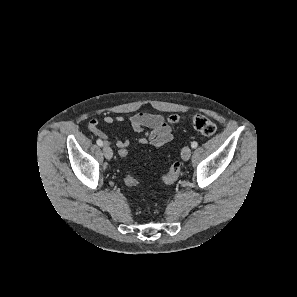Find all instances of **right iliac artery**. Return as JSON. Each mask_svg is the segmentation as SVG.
I'll list each match as a JSON object with an SVG mask.
<instances>
[{
	"mask_svg": "<svg viewBox=\"0 0 297 297\" xmlns=\"http://www.w3.org/2000/svg\"><path fill=\"white\" fill-rule=\"evenodd\" d=\"M96 142H97L98 146H100V147H101V146H103V141H102V140H100V139H97V141H96Z\"/></svg>",
	"mask_w": 297,
	"mask_h": 297,
	"instance_id": "obj_1",
	"label": "right iliac artery"
}]
</instances>
